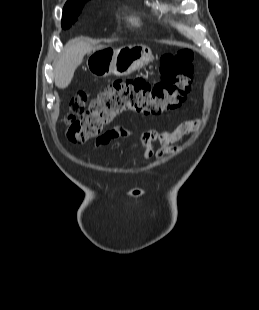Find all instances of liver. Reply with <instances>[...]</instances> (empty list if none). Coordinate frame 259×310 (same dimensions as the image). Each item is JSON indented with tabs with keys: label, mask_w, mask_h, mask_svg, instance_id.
<instances>
[{
	"label": "liver",
	"mask_w": 259,
	"mask_h": 310,
	"mask_svg": "<svg viewBox=\"0 0 259 310\" xmlns=\"http://www.w3.org/2000/svg\"><path fill=\"white\" fill-rule=\"evenodd\" d=\"M100 48L93 47L91 43L84 39H74L69 41L55 64L54 81L55 85L60 89H65L71 83L74 72L82 63L83 57L87 53Z\"/></svg>",
	"instance_id": "6515ba94"
}]
</instances>
